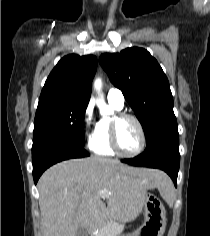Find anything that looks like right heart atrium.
Returning <instances> with one entry per match:
<instances>
[{"instance_id": "d8ad5b80", "label": "right heart atrium", "mask_w": 210, "mask_h": 236, "mask_svg": "<svg viewBox=\"0 0 210 236\" xmlns=\"http://www.w3.org/2000/svg\"><path fill=\"white\" fill-rule=\"evenodd\" d=\"M97 122L94 116V106L92 102H89L83 112L82 127L84 134L91 139L95 132Z\"/></svg>"}]
</instances>
